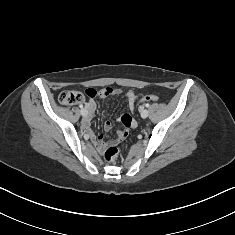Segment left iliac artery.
<instances>
[{
    "label": "left iliac artery",
    "instance_id": "1",
    "mask_svg": "<svg viewBox=\"0 0 235 235\" xmlns=\"http://www.w3.org/2000/svg\"><path fill=\"white\" fill-rule=\"evenodd\" d=\"M145 106H146V107H149V104L147 103Z\"/></svg>",
    "mask_w": 235,
    "mask_h": 235
}]
</instances>
